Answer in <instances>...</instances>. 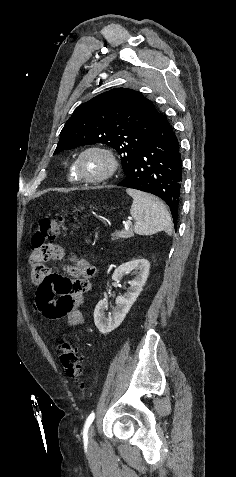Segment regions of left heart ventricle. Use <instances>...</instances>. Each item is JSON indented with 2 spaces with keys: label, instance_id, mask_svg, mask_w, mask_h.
Instances as JSON below:
<instances>
[{
  "label": "left heart ventricle",
  "instance_id": "obj_1",
  "mask_svg": "<svg viewBox=\"0 0 236 477\" xmlns=\"http://www.w3.org/2000/svg\"><path fill=\"white\" fill-rule=\"evenodd\" d=\"M108 168L107 160L98 153L86 154L80 163V169L84 176L96 177L103 174Z\"/></svg>",
  "mask_w": 236,
  "mask_h": 477
}]
</instances>
